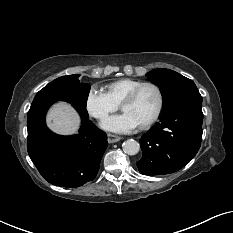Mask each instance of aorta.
I'll list each match as a JSON object with an SVG mask.
<instances>
[{"label": "aorta", "mask_w": 233, "mask_h": 233, "mask_svg": "<svg viewBox=\"0 0 233 233\" xmlns=\"http://www.w3.org/2000/svg\"><path fill=\"white\" fill-rule=\"evenodd\" d=\"M123 151L128 155H135L140 150V144L134 139L126 140L123 145Z\"/></svg>", "instance_id": "aorta-1"}]
</instances>
